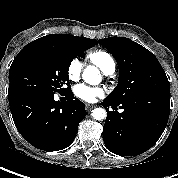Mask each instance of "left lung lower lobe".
Wrapping results in <instances>:
<instances>
[{"mask_svg":"<svg viewBox=\"0 0 178 178\" xmlns=\"http://www.w3.org/2000/svg\"><path fill=\"white\" fill-rule=\"evenodd\" d=\"M104 106L121 105L124 111H108L103 127L105 146L121 156H135L150 149L162 135L170 111L142 102L113 103L105 99Z\"/></svg>","mask_w":178,"mask_h":178,"instance_id":"obj_1","label":"left lung lower lobe"}]
</instances>
